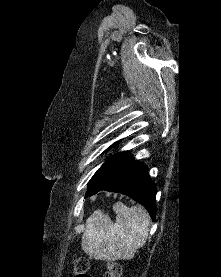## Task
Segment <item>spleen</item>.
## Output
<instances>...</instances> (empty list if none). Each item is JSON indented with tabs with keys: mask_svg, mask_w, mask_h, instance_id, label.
<instances>
[{
	"mask_svg": "<svg viewBox=\"0 0 221 277\" xmlns=\"http://www.w3.org/2000/svg\"><path fill=\"white\" fill-rule=\"evenodd\" d=\"M116 222L96 211L86 221L81 246L96 259L130 260L146 243L149 232L148 214L140 206L128 208L122 203L113 206Z\"/></svg>",
	"mask_w": 221,
	"mask_h": 277,
	"instance_id": "3e777b00",
	"label": "spleen"
}]
</instances>
